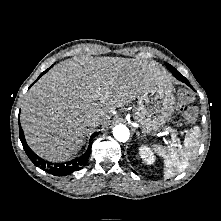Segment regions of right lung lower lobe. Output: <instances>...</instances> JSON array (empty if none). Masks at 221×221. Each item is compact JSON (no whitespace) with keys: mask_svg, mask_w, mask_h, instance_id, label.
<instances>
[{"mask_svg":"<svg viewBox=\"0 0 221 221\" xmlns=\"http://www.w3.org/2000/svg\"><path fill=\"white\" fill-rule=\"evenodd\" d=\"M48 70L49 69H47L46 71L41 73L40 76L38 77V79L43 74H45ZM97 134H98L97 132L92 134V136L90 138V142ZM19 137H20L21 143L23 145V148H24L26 154L28 155L29 159L34 163V165L39 166L41 169H43L44 171H46L52 175L65 176V175H68L74 171H78L86 164V162L90 156L91 143L89 144L87 151L82 156L75 158L74 160L67 162V163L53 164L51 162L41 159L38 155H36L30 149V147L26 143L20 122H19Z\"/></svg>","mask_w":221,"mask_h":221,"instance_id":"obj_1","label":"right lung lower lobe"}]
</instances>
